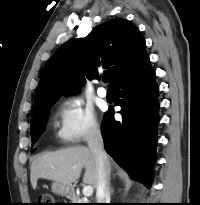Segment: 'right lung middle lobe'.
I'll list each match as a JSON object with an SVG mask.
<instances>
[{
    "instance_id": "right-lung-middle-lobe-1",
    "label": "right lung middle lobe",
    "mask_w": 200,
    "mask_h": 205,
    "mask_svg": "<svg viewBox=\"0 0 200 205\" xmlns=\"http://www.w3.org/2000/svg\"><path fill=\"white\" fill-rule=\"evenodd\" d=\"M57 99L47 100L39 107L38 112L31 119V138L35 142L42 134L47 120L48 109L56 102Z\"/></svg>"
}]
</instances>
